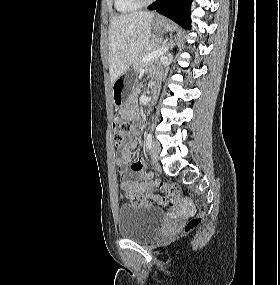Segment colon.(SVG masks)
<instances>
[{
  "instance_id": "obj_1",
  "label": "colon",
  "mask_w": 280,
  "mask_h": 285,
  "mask_svg": "<svg viewBox=\"0 0 280 285\" xmlns=\"http://www.w3.org/2000/svg\"><path fill=\"white\" fill-rule=\"evenodd\" d=\"M130 122L124 117L117 115L113 118L112 121V130H113V140L116 145H121L124 138L130 130ZM149 175V174H148ZM158 187L165 191V196L158 197L150 194H140L137 192H129L127 198L129 202L133 204L148 202V203H158L165 206L174 205L179 199V191L176 186L168 185L162 182L157 183ZM204 219V214H199L192 217L185 225V231L191 232L197 227H199Z\"/></svg>"
}]
</instances>
